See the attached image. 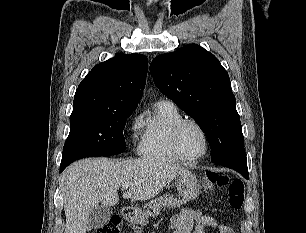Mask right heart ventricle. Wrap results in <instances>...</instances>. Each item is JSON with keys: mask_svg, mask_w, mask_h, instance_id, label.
Returning a JSON list of instances; mask_svg holds the SVG:
<instances>
[{"mask_svg": "<svg viewBox=\"0 0 306 233\" xmlns=\"http://www.w3.org/2000/svg\"><path fill=\"white\" fill-rule=\"evenodd\" d=\"M183 117L177 107L168 100L157 102L152 111L142 118L140 154L148 159L160 161L180 160L171 146V133Z\"/></svg>", "mask_w": 306, "mask_h": 233, "instance_id": "right-heart-ventricle-1", "label": "right heart ventricle"}]
</instances>
